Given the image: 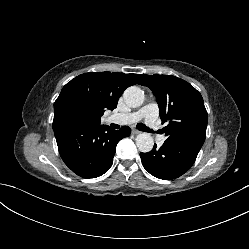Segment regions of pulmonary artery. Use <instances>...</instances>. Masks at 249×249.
Wrapping results in <instances>:
<instances>
[{
	"instance_id": "pulmonary-artery-1",
	"label": "pulmonary artery",
	"mask_w": 249,
	"mask_h": 249,
	"mask_svg": "<svg viewBox=\"0 0 249 249\" xmlns=\"http://www.w3.org/2000/svg\"><path fill=\"white\" fill-rule=\"evenodd\" d=\"M159 108L158 105L154 102L149 103L139 109L136 112L117 114L115 115V120L121 124H132L136 123L141 119H144L147 127L152 130L154 133L159 129ZM165 141L164 136L156 134V142L159 145H162Z\"/></svg>"
}]
</instances>
